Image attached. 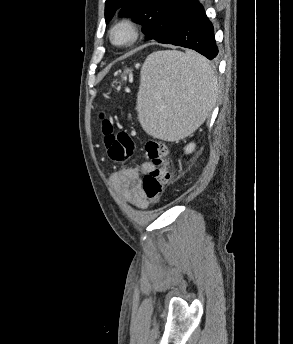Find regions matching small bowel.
Instances as JSON below:
<instances>
[{"label":"small bowel","mask_w":293,"mask_h":344,"mask_svg":"<svg viewBox=\"0 0 293 344\" xmlns=\"http://www.w3.org/2000/svg\"><path fill=\"white\" fill-rule=\"evenodd\" d=\"M153 168L152 163L145 161L138 166L121 169L116 174L123 199L138 209H145L148 205L141 188V174L148 173Z\"/></svg>","instance_id":"1"}]
</instances>
